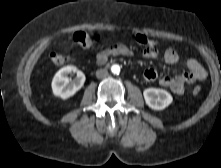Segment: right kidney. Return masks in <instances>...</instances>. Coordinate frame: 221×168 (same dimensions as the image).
I'll use <instances>...</instances> for the list:
<instances>
[{
    "mask_svg": "<svg viewBox=\"0 0 221 168\" xmlns=\"http://www.w3.org/2000/svg\"><path fill=\"white\" fill-rule=\"evenodd\" d=\"M77 72V78L71 81L68 74ZM85 82V75L81 71H77L74 66H66L60 69L52 80L53 94L62 99H68L82 88Z\"/></svg>",
    "mask_w": 221,
    "mask_h": 168,
    "instance_id": "obj_1",
    "label": "right kidney"
}]
</instances>
